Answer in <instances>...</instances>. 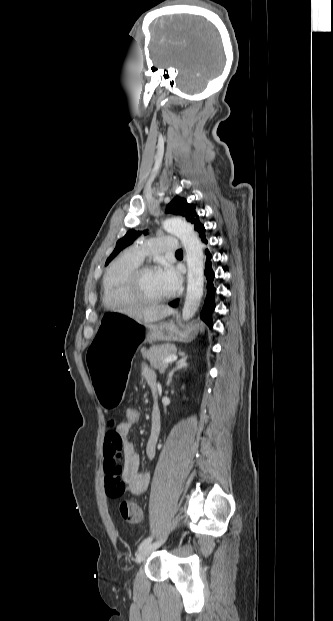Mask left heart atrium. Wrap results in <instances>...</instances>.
<instances>
[{
  "mask_svg": "<svg viewBox=\"0 0 333 621\" xmlns=\"http://www.w3.org/2000/svg\"><path fill=\"white\" fill-rule=\"evenodd\" d=\"M157 275L163 282L168 293H171L179 288L181 278L173 266L169 264L162 265L159 269H157Z\"/></svg>",
  "mask_w": 333,
  "mask_h": 621,
  "instance_id": "obj_1",
  "label": "left heart atrium"
}]
</instances>
